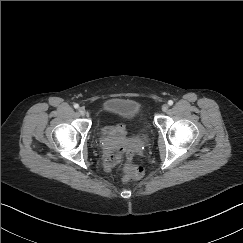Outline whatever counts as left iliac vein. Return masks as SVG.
<instances>
[{"label": "left iliac vein", "instance_id": "left-iliac-vein-1", "mask_svg": "<svg viewBox=\"0 0 243 243\" xmlns=\"http://www.w3.org/2000/svg\"><path fill=\"white\" fill-rule=\"evenodd\" d=\"M169 106L167 104H163L162 107H161V110L163 112H166L168 110Z\"/></svg>", "mask_w": 243, "mask_h": 243}]
</instances>
